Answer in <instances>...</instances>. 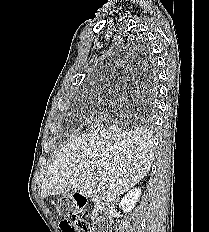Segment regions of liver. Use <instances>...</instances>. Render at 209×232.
I'll list each match as a JSON object with an SVG mask.
<instances>
[{
  "mask_svg": "<svg viewBox=\"0 0 209 232\" xmlns=\"http://www.w3.org/2000/svg\"><path fill=\"white\" fill-rule=\"evenodd\" d=\"M153 159V138L146 130L105 127L74 139L56 156L40 195L78 191L111 200L143 179Z\"/></svg>",
  "mask_w": 209,
  "mask_h": 232,
  "instance_id": "liver-1",
  "label": "liver"
}]
</instances>
